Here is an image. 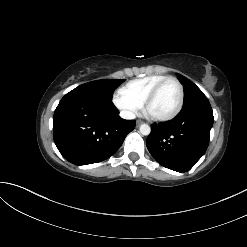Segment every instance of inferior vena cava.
I'll use <instances>...</instances> for the list:
<instances>
[{
  "mask_svg": "<svg viewBox=\"0 0 247 247\" xmlns=\"http://www.w3.org/2000/svg\"><path fill=\"white\" fill-rule=\"evenodd\" d=\"M120 116L123 119H134L135 118V114L133 112H130V111H121Z\"/></svg>",
  "mask_w": 247,
  "mask_h": 247,
  "instance_id": "1",
  "label": "inferior vena cava"
}]
</instances>
